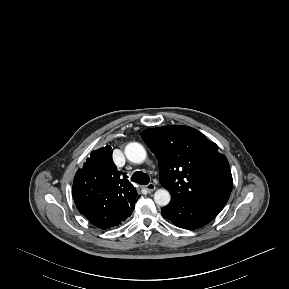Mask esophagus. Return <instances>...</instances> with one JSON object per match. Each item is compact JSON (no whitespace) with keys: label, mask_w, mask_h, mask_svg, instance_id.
Masks as SVG:
<instances>
[{"label":"esophagus","mask_w":289,"mask_h":289,"mask_svg":"<svg viewBox=\"0 0 289 289\" xmlns=\"http://www.w3.org/2000/svg\"><path fill=\"white\" fill-rule=\"evenodd\" d=\"M145 189H146L148 192H153V191L156 189V186H155V184H153V183H149L148 185L145 186Z\"/></svg>","instance_id":"esophagus-1"}]
</instances>
